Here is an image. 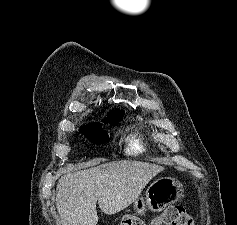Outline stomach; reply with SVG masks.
<instances>
[{"label":"stomach","instance_id":"stomach-1","mask_svg":"<svg viewBox=\"0 0 237 225\" xmlns=\"http://www.w3.org/2000/svg\"><path fill=\"white\" fill-rule=\"evenodd\" d=\"M183 185L171 177H162L153 181L147 188L145 198L133 202L135 214L144 215L147 208L153 212H161L171 203L182 197Z\"/></svg>","mask_w":237,"mask_h":225}]
</instances>
